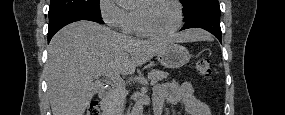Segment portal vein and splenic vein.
<instances>
[{
	"instance_id": "portal-vein-and-splenic-vein-1",
	"label": "portal vein and splenic vein",
	"mask_w": 285,
	"mask_h": 115,
	"mask_svg": "<svg viewBox=\"0 0 285 115\" xmlns=\"http://www.w3.org/2000/svg\"><path fill=\"white\" fill-rule=\"evenodd\" d=\"M103 76L108 77L110 80H112L113 82L117 83L118 85H124L123 80L121 79L120 75L115 72V71H111V72H106V71H99Z\"/></svg>"
}]
</instances>
